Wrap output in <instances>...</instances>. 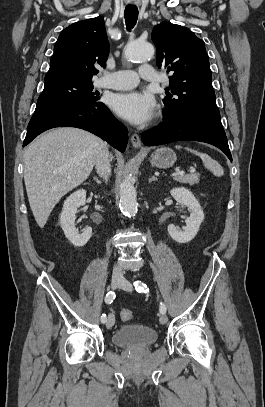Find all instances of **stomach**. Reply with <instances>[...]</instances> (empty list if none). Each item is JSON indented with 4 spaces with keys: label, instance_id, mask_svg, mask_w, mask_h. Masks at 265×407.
<instances>
[{
    "label": "stomach",
    "instance_id": "1",
    "mask_svg": "<svg viewBox=\"0 0 265 407\" xmlns=\"http://www.w3.org/2000/svg\"><path fill=\"white\" fill-rule=\"evenodd\" d=\"M176 159L175 152L168 147H160L150 156L152 166L161 169L172 167Z\"/></svg>",
    "mask_w": 265,
    "mask_h": 407
}]
</instances>
